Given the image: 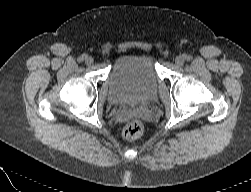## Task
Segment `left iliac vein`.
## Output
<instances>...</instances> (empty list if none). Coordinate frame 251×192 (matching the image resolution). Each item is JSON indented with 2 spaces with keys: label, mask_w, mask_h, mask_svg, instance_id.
Masks as SVG:
<instances>
[{
  "label": "left iliac vein",
  "mask_w": 251,
  "mask_h": 192,
  "mask_svg": "<svg viewBox=\"0 0 251 192\" xmlns=\"http://www.w3.org/2000/svg\"><path fill=\"white\" fill-rule=\"evenodd\" d=\"M184 62H185V59H184L183 56H177V57L175 58V64H176L177 66H182V65L184 64Z\"/></svg>",
  "instance_id": "obj_1"
}]
</instances>
